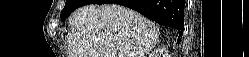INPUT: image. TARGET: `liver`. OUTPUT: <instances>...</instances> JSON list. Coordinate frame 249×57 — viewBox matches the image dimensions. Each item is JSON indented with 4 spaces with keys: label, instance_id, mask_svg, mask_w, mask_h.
Listing matches in <instances>:
<instances>
[{
    "label": "liver",
    "instance_id": "obj_1",
    "mask_svg": "<svg viewBox=\"0 0 249 57\" xmlns=\"http://www.w3.org/2000/svg\"><path fill=\"white\" fill-rule=\"evenodd\" d=\"M70 57H147L159 28L141 14L117 4H89L69 19Z\"/></svg>",
    "mask_w": 249,
    "mask_h": 57
}]
</instances>
